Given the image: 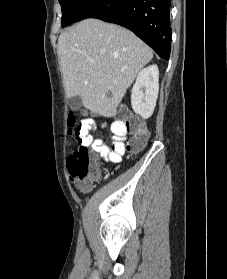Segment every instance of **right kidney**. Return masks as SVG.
I'll return each instance as SVG.
<instances>
[{"mask_svg":"<svg viewBox=\"0 0 227 279\" xmlns=\"http://www.w3.org/2000/svg\"><path fill=\"white\" fill-rule=\"evenodd\" d=\"M159 70L157 65L142 69L133 85L131 105L136 114L148 119L154 111L159 91Z\"/></svg>","mask_w":227,"mask_h":279,"instance_id":"obj_1","label":"right kidney"}]
</instances>
